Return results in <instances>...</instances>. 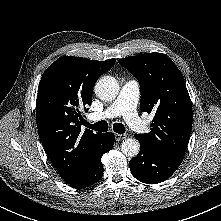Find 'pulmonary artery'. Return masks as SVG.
<instances>
[{"label":"pulmonary artery","mask_w":221,"mask_h":221,"mask_svg":"<svg viewBox=\"0 0 221 221\" xmlns=\"http://www.w3.org/2000/svg\"><path fill=\"white\" fill-rule=\"evenodd\" d=\"M140 98V86L135 79H128L122 86L117 98L103 111L90 115V122L114 118L121 115L126 123L134 130L144 131L146 125L137 114Z\"/></svg>","instance_id":"1"}]
</instances>
